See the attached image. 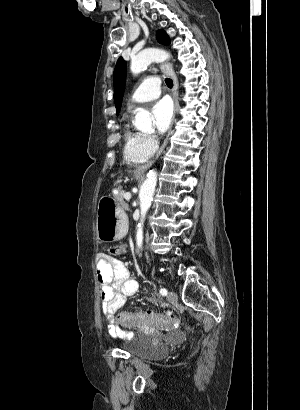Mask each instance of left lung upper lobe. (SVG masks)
Returning <instances> with one entry per match:
<instances>
[{
    "label": "left lung upper lobe",
    "mask_w": 300,
    "mask_h": 410,
    "mask_svg": "<svg viewBox=\"0 0 300 410\" xmlns=\"http://www.w3.org/2000/svg\"><path fill=\"white\" fill-rule=\"evenodd\" d=\"M157 40L159 41V43L163 45H169L171 42L166 32L162 29L157 31ZM126 67V61H124L123 58L120 57L117 61L113 74L114 102L116 106V114L120 112L121 102L125 90Z\"/></svg>",
    "instance_id": "left-lung-upper-lobe-1"
}]
</instances>
